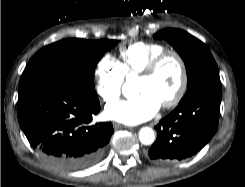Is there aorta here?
Listing matches in <instances>:
<instances>
[{"label": "aorta", "instance_id": "obj_1", "mask_svg": "<svg viewBox=\"0 0 245 187\" xmlns=\"http://www.w3.org/2000/svg\"><path fill=\"white\" fill-rule=\"evenodd\" d=\"M123 95L130 100L138 97V90L134 82L127 78V82L122 87ZM155 134L154 131L149 127H144L139 131V140L144 145H150L154 142Z\"/></svg>", "mask_w": 245, "mask_h": 187}]
</instances>
